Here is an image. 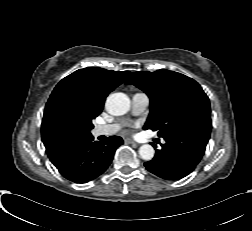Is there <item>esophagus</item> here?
Segmentation results:
<instances>
[{
	"mask_svg": "<svg viewBox=\"0 0 252 231\" xmlns=\"http://www.w3.org/2000/svg\"><path fill=\"white\" fill-rule=\"evenodd\" d=\"M124 142L126 144L137 145V143L135 141H133L132 139H125Z\"/></svg>",
	"mask_w": 252,
	"mask_h": 231,
	"instance_id": "1",
	"label": "esophagus"
}]
</instances>
